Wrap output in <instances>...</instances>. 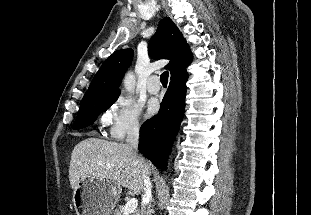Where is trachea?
<instances>
[{
    "mask_svg": "<svg viewBox=\"0 0 311 215\" xmlns=\"http://www.w3.org/2000/svg\"><path fill=\"white\" fill-rule=\"evenodd\" d=\"M168 76H169V72L168 71H165L161 74L160 76V80H161V83L162 85L166 86L167 83H168Z\"/></svg>",
    "mask_w": 311,
    "mask_h": 215,
    "instance_id": "3493384b",
    "label": "trachea"
}]
</instances>
